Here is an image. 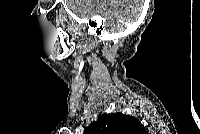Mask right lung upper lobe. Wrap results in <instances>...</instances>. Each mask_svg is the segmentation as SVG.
Listing matches in <instances>:
<instances>
[{
    "mask_svg": "<svg viewBox=\"0 0 200 134\" xmlns=\"http://www.w3.org/2000/svg\"><path fill=\"white\" fill-rule=\"evenodd\" d=\"M144 126L134 117L122 113L100 115L85 134H145Z\"/></svg>",
    "mask_w": 200,
    "mask_h": 134,
    "instance_id": "cb5924a9",
    "label": "right lung upper lobe"
}]
</instances>
